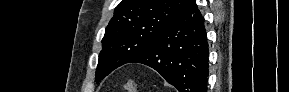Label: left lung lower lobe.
Listing matches in <instances>:
<instances>
[{"label":"left lung lower lobe","mask_w":289,"mask_h":92,"mask_svg":"<svg viewBox=\"0 0 289 92\" xmlns=\"http://www.w3.org/2000/svg\"><path fill=\"white\" fill-rule=\"evenodd\" d=\"M208 54L204 20L191 0L152 45L129 63L152 67L179 92H207Z\"/></svg>","instance_id":"0a47b994"}]
</instances>
